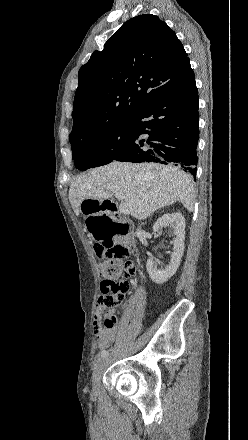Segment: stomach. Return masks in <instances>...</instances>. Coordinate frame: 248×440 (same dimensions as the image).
Instances as JSON below:
<instances>
[{
	"mask_svg": "<svg viewBox=\"0 0 248 440\" xmlns=\"http://www.w3.org/2000/svg\"><path fill=\"white\" fill-rule=\"evenodd\" d=\"M90 203L82 204L81 215L86 218V230L93 237L94 246H105L106 241H117V230L109 218V209H105L104 204L96 200Z\"/></svg>",
	"mask_w": 248,
	"mask_h": 440,
	"instance_id": "1",
	"label": "stomach"
}]
</instances>
